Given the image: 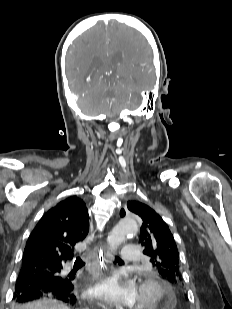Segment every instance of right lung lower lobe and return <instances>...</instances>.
I'll list each match as a JSON object with an SVG mask.
<instances>
[{
    "label": "right lung lower lobe",
    "mask_w": 232,
    "mask_h": 309,
    "mask_svg": "<svg viewBox=\"0 0 232 309\" xmlns=\"http://www.w3.org/2000/svg\"><path fill=\"white\" fill-rule=\"evenodd\" d=\"M61 270V269H60ZM60 270H57V279L51 283L32 280L29 281L23 277L17 279L14 292V300L16 303H25L39 298H56L68 304H74L76 297L73 293L74 286L72 279L69 277H61L58 275ZM22 274H33L38 277V280L49 271L40 272L35 268L33 263H24L20 270Z\"/></svg>",
    "instance_id": "98d812e1"
}]
</instances>
